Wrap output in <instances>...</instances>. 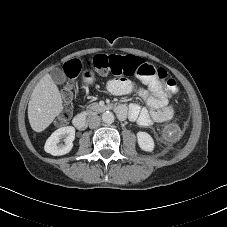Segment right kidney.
<instances>
[{"mask_svg": "<svg viewBox=\"0 0 227 227\" xmlns=\"http://www.w3.org/2000/svg\"><path fill=\"white\" fill-rule=\"evenodd\" d=\"M63 139L65 144H59ZM75 139V128L72 126L61 127L54 131L46 140L44 150L54 156L67 154L73 148V141Z\"/></svg>", "mask_w": 227, "mask_h": 227, "instance_id": "obj_1", "label": "right kidney"}]
</instances>
